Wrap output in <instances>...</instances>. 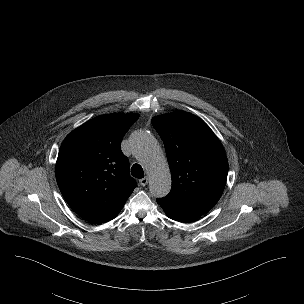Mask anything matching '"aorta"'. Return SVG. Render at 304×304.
Instances as JSON below:
<instances>
[{
    "instance_id": "762f6f07",
    "label": "aorta",
    "mask_w": 304,
    "mask_h": 304,
    "mask_svg": "<svg viewBox=\"0 0 304 304\" xmlns=\"http://www.w3.org/2000/svg\"><path fill=\"white\" fill-rule=\"evenodd\" d=\"M135 156L146 168L152 196L165 197L171 189V174L165 156L155 138L146 131H138L131 140Z\"/></svg>"
}]
</instances>
